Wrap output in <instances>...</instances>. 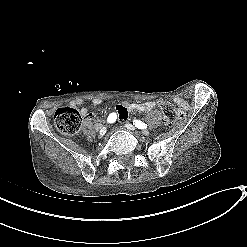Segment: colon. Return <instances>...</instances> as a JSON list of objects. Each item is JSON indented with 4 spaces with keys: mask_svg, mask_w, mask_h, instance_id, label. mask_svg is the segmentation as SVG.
I'll return each instance as SVG.
<instances>
[{
    "mask_svg": "<svg viewBox=\"0 0 247 247\" xmlns=\"http://www.w3.org/2000/svg\"><path fill=\"white\" fill-rule=\"evenodd\" d=\"M166 125L170 126L175 123L178 113L175 107L168 102L159 104ZM81 114L75 107L68 106L59 108L54 114V123L57 129L65 135H72L79 131L81 127Z\"/></svg>",
    "mask_w": 247,
    "mask_h": 247,
    "instance_id": "obj_1",
    "label": "colon"
}]
</instances>
